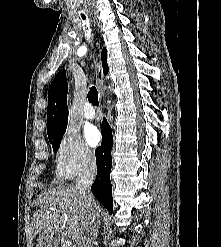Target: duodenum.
Here are the masks:
<instances>
[{
  "label": "duodenum",
  "instance_id": "duodenum-1",
  "mask_svg": "<svg viewBox=\"0 0 221 247\" xmlns=\"http://www.w3.org/2000/svg\"><path fill=\"white\" fill-rule=\"evenodd\" d=\"M52 238H53V244L54 245H59L61 238H60V234L58 232H53L52 233Z\"/></svg>",
  "mask_w": 221,
  "mask_h": 247
}]
</instances>
